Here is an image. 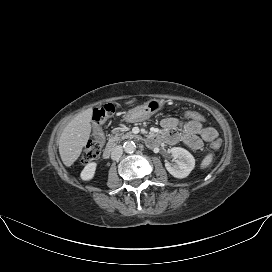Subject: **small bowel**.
<instances>
[{
    "label": "small bowel",
    "instance_id": "1",
    "mask_svg": "<svg viewBox=\"0 0 272 272\" xmlns=\"http://www.w3.org/2000/svg\"><path fill=\"white\" fill-rule=\"evenodd\" d=\"M161 126L160 139L169 144L182 141L192 150L201 149L203 142H213L218 136L214 128L204 126L200 121L168 117L161 120Z\"/></svg>",
    "mask_w": 272,
    "mask_h": 272
}]
</instances>
